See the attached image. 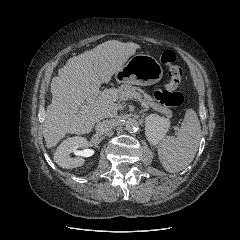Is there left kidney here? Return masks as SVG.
<instances>
[{
    "mask_svg": "<svg viewBox=\"0 0 240 240\" xmlns=\"http://www.w3.org/2000/svg\"><path fill=\"white\" fill-rule=\"evenodd\" d=\"M170 127L168 118L150 114L145 118V135L152 145H157L164 138Z\"/></svg>",
    "mask_w": 240,
    "mask_h": 240,
    "instance_id": "5707ae66",
    "label": "left kidney"
}]
</instances>
